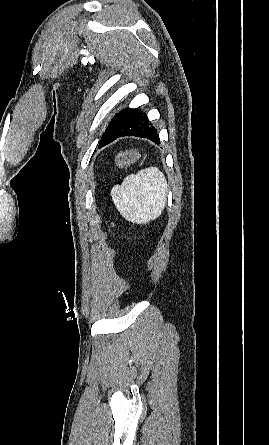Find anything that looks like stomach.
Instances as JSON below:
<instances>
[{
	"mask_svg": "<svg viewBox=\"0 0 269 445\" xmlns=\"http://www.w3.org/2000/svg\"><path fill=\"white\" fill-rule=\"evenodd\" d=\"M139 158V153L136 150L121 152L115 157V163L119 168H126L133 164Z\"/></svg>",
	"mask_w": 269,
	"mask_h": 445,
	"instance_id": "0dacf381",
	"label": "stomach"
}]
</instances>
